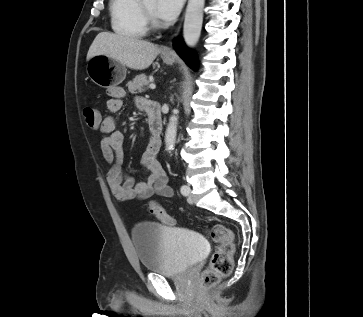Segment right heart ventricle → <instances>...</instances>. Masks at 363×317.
<instances>
[{"label": "right heart ventricle", "instance_id": "e07e8e85", "mask_svg": "<svg viewBox=\"0 0 363 317\" xmlns=\"http://www.w3.org/2000/svg\"><path fill=\"white\" fill-rule=\"evenodd\" d=\"M110 16L113 31L128 38H142L148 32L139 9V0H110Z\"/></svg>", "mask_w": 363, "mask_h": 317}]
</instances>
